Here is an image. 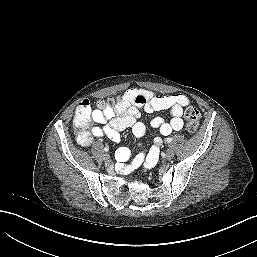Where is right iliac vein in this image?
<instances>
[{
    "instance_id": "63e3f726",
    "label": "right iliac vein",
    "mask_w": 257,
    "mask_h": 257,
    "mask_svg": "<svg viewBox=\"0 0 257 257\" xmlns=\"http://www.w3.org/2000/svg\"><path fill=\"white\" fill-rule=\"evenodd\" d=\"M103 159L106 163H110L111 162V158H110V155L105 153L104 156H103Z\"/></svg>"
}]
</instances>
